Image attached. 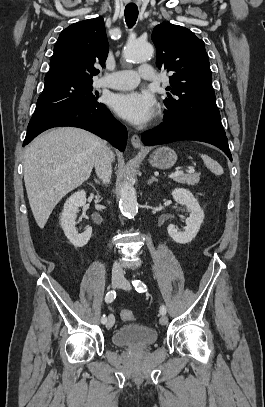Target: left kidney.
Instances as JSON below:
<instances>
[{"instance_id": "obj_1", "label": "left kidney", "mask_w": 265, "mask_h": 407, "mask_svg": "<svg viewBox=\"0 0 265 407\" xmlns=\"http://www.w3.org/2000/svg\"><path fill=\"white\" fill-rule=\"evenodd\" d=\"M172 196L176 202L185 205L190 211V216L186 219L185 231L181 232L174 225L167 228L169 236L179 244L191 242L197 235L204 220V213L193 194L184 189L176 188L172 191Z\"/></svg>"}]
</instances>
